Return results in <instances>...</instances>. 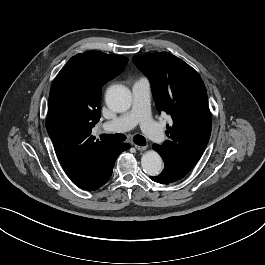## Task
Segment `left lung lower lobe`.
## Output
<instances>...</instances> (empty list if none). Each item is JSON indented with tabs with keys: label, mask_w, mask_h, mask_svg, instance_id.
<instances>
[{
	"label": "left lung lower lobe",
	"mask_w": 265,
	"mask_h": 265,
	"mask_svg": "<svg viewBox=\"0 0 265 265\" xmlns=\"http://www.w3.org/2000/svg\"><path fill=\"white\" fill-rule=\"evenodd\" d=\"M153 148L160 154L159 145L155 144ZM183 177L184 176H181L180 174L176 173L170 167H165L164 170L161 172V174H159L158 176H150V179H152L155 182L168 184L178 181Z\"/></svg>",
	"instance_id": "1"
}]
</instances>
